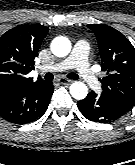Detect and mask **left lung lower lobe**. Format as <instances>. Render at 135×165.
<instances>
[{"label": "left lung lower lobe", "mask_w": 135, "mask_h": 165, "mask_svg": "<svg viewBox=\"0 0 135 165\" xmlns=\"http://www.w3.org/2000/svg\"><path fill=\"white\" fill-rule=\"evenodd\" d=\"M77 105L87 119L100 123H111L127 113L110 98L93 91Z\"/></svg>", "instance_id": "left-lung-lower-lobe-1"}]
</instances>
